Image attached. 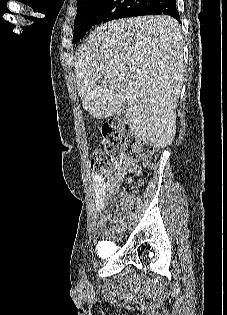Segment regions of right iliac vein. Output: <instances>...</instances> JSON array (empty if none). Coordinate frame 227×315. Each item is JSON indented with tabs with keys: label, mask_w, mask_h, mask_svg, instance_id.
I'll list each match as a JSON object with an SVG mask.
<instances>
[{
	"label": "right iliac vein",
	"mask_w": 227,
	"mask_h": 315,
	"mask_svg": "<svg viewBox=\"0 0 227 315\" xmlns=\"http://www.w3.org/2000/svg\"><path fill=\"white\" fill-rule=\"evenodd\" d=\"M125 230H126V224H125V223H122V224L119 225L118 228H117V231H118L119 234L124 233Z\"/></svg>",
	"instance_id": "right-iliac-vein-1"
}]
</instances>
